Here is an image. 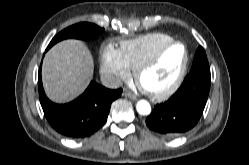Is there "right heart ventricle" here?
I'll list each match as a JSON object with an SVG mask.
<instances>
[{
	"mask_svg": "<svg viewBox=\"0 0 249 165\" xmlns=\"http://www.w3.org/2000/svg\"><path fill=\"white\" fill-rule=\"evenodd\" d=\"M173 40L174 38L166 33H148L123 41L119 51L130 70L134 71L139 64L152 57L162 46Z\"/></svg>",
	"mask_w": 249,
	"mask_h": 165,
	"instance_id": "e07e8e85",
	"label": "right heart ventricle"
}]
</instances>
